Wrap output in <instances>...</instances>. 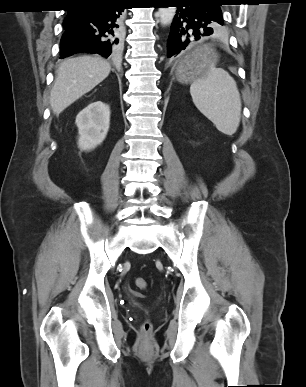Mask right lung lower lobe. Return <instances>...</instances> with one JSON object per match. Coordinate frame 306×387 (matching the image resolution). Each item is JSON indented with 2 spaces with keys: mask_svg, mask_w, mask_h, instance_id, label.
Listing matches in <instances>:
<instances>
[{
  "mask_svg": "<svg viewBox=\"0 0 306 387\" xmlns=\"http://www.w3.org/2000/svg\"><path fill=\"white\" fill-rule=\"evenodd\" d=\"M124 0L82 5L69 10L74 23L64 27L60 58L75 53H96L103 57L118 55L122 42Z\"/></svg>",
  "mask_w": 306,
  "mask_h": 387,
  "instance_id": "1",
  "label": "right lung lower lobe"
}]
</instances>
